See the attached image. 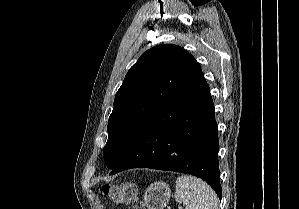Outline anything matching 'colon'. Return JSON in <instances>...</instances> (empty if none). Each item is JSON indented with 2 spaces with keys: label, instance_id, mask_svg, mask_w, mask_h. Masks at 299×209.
Here are the masks:
<instances>
[{
  "label": "colon",
  "instance_id": "5ec220e1",
  "mask_svg": "<svg viewBox=\"0 0 299 209\" xmlns=\"http://www.w3.org/2000/svg\"><path fill=\"white\" fill-rule=\"evenodd\" d=\"M101 195L115 203H126L135 199L136 188L131 183H107L99 188ZM135 209H139L137 206Z\"/></svg>",
  "mask_w": 299,
  "mask_h": 209
}]
</instances>
